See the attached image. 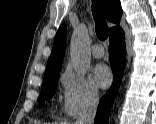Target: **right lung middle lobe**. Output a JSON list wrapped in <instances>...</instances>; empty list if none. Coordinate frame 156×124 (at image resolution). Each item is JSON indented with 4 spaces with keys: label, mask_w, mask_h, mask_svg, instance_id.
Wrapping results in <instances>:
<instances>
[{
    "label": "right lung middle lobe",
    "mask_w": 156,
    "mask_h": 124,
    "mask_svg": "<svg viewBox=\"0 0 156 124\" xmlns=\"http://www.w3.org/2000/svg\"><path fill=\"white\" fill-rule=\"evenodd\" d=\"M58 79L59 74L44 78V86L42 88L39 100L40 106H43L45 104L46 99L48 100L53 96L54 90L58 83Z\"/></svg>",
    "instance_id": "right-lung-middle-lobe-1"
}]
</instances>
